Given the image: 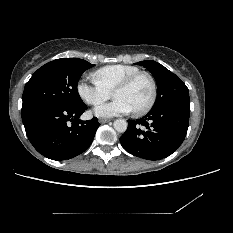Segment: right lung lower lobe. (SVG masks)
Segmentation results:
<instances>
[{"label":"right lung lower lobe","instance_id":"98d812e1","mask_svg":"<svg viewBox=\"0 0 233 233\" xmlns=\"http://www.w3.org/2000/svg\"><path fill=\"white\" fill-rule=\"evenodd\" d=\"M85 103L77 107L44 104L21 112L30 143L43 156L61 161L83 153L100 126L96 117L82 121Z\"/></svg>","mask_w":233,"mask_h":233}]
</instances>
